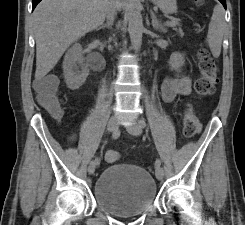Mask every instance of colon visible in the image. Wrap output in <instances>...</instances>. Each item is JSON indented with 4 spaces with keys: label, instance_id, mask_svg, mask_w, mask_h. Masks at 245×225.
Listing matches in <instances>:
<instances>
[{
    "label": "colon",
    "instance_id": "obj_1",
    "mask_svg": "<svg viewBox=\"0 0 245 225\" xmlns=\"http://www.w3.org/2000/svg\"><path fill=\"white\" fill-rule=\"evenodd\" d=\"M197 63L200 77L195 83V92L199 96L211 95L215 91L218 82V71L215 61L209 51L201 48L197 53ZM57 83L49 81L45 85L38 88V100L47 109L54 113L62 111V103L57 97ZM201 130V123L195 116L191 105H187V109L183 119V134L185 138H190L198 134Z\"/></svg>",
    "mask_w": 245,
    "mask_h": 225
}]
</instances>
